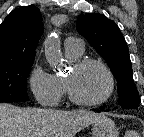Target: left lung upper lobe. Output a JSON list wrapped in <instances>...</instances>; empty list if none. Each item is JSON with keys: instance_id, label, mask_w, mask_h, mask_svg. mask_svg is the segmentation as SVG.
<instances>
[{"instance_id": "5c2ea615", "label": "left lung upper lobe", "mask_w": 144, "mask_h": 137, "mask_svg": "<svg viewBox=\"0 0 144 137\" xmlns=\"http://www.w3.org/2000/svg\"><path fill=\"white\" fill-rule=\"evenodd\" d=\"M77 31L105 59L118 84L119 104L137 109L140 98L133 80L131 60L125 39L118 26L104 15L85 13L78 17Z\"/></svg>"}]
</instances>
